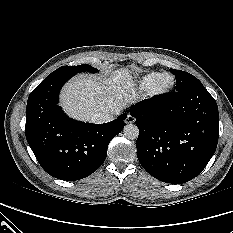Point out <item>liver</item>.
I'll list each match as a JSON object with an SVG mask.
<instances>
[{
	"label": "liver",
	"mask_w": 233,
	"mask_h": 233,
	"mask_svg": "<svg viewBox=\"0 0 233 233\" xmlns=\"http://www.w3.org/2000/svg\"><path fill=\"white\" fill-rule=\"evenodd\" d=\"M135 86L126 68L113 71L107 79L80 74L64 86L61 106L69 116L83 121H91L97 113L117 116L137 100Z\"/></svg>",
	"instance_id": "1"
}]
</instances>
